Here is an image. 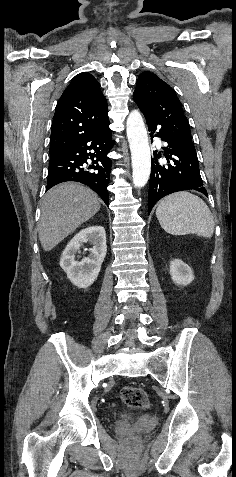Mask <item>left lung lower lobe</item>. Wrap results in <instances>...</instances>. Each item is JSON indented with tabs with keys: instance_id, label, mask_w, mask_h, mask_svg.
<instances>
[{
	"instance_id": "obj_1",
	"label": "left lung lower lobe",
	"mask_w": 236,
	"mask_h": 477,
	"mask_svg": "<svg viewBox=\"0 0 236 477\" xmlns=\"http://www.w3.org/2000/svg\"><path fill=\"white\" fill-rule=\"evenodd\" d=\"M145 118L151 132V138L157 136L167 143L165 147H162V155L166 157L167 164H159L158 158L161 157V152L158 154L156 151L153 152L148 193V214L158 200L174 192L196 190L208 196L199 172L196 152L181 147L161 129L154 134L157 130V124L151 119Z\"/></svg>"
}]
</instances>
